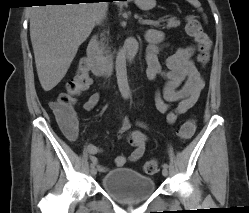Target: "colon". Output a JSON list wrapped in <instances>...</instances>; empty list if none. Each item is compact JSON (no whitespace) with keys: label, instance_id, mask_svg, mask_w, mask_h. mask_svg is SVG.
Here are the masks:
<instances>
[{"label":"colon","instance_id":"1","mask_svg":"<svg viewBox=\"0 0 249 213\" xmlns=\"http://www.w3.org/2000/svg\"><path fill=\"white\" fill-rule=\"evenodd\" d=\"M186 33L195 39L199 45L198 61L201 64H206L209 59L210 40L203 32L199 21L192 15L186 18ZM92 83L89 74V67L85 61H82L74 75L67 83L66 91L60 93L58 97L50 102V108L55 114L60 124L69 127L76 118L73 111L76 97L87 90ZM196 128V123L193 118L186 120L180 127L178 135L181 139H189ZM143 171L148 175L155 174L158 170V162L156 159H148L143 164Z\"/></svg>","mask_w":249,"mask_h":213}]
</instances>
